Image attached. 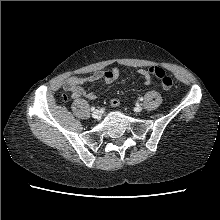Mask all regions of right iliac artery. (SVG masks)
Wrapping results in <instances>:
<instances>
[{
    "mask_svg": "<svg viewBox=\"0 0 220 220\" xmlns=\"http://www.w3.org/2000/svg\"><path fill=\"white\" fill-rule=\"evenodd\" d=\"M95 110V107H91V111H94Z\"/></svg>",
    "mask_w": 220,
    "mask_h": 220,
    "instance_id": "1",
    "label": "right iliac artery"
}]
</instances>
